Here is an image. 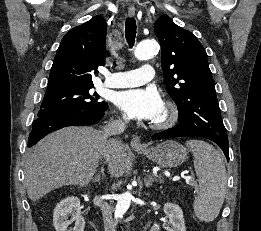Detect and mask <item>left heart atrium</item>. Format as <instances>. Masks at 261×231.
Here are the masks:
<instances>
[{
    "mask_svg": "<svg viewBox=\"0 0 261 231\" xmlns=\"http://www.w3.org/2000/svg\"><path fill=\"white\" fill-rule=\"evenodd\" d=\"M117 106L129 116L154 121L163 109V102L154 88H136L122 91L116 97Z\"/></svg>",
    "mask_w": 261,
    "mask_h": 231,
    "instance_id": "39dd6f15",
    "label": "left heart atrium"
}]
</instances>
